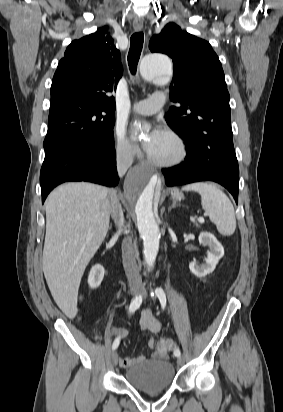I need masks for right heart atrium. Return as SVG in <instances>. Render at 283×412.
Masks as SVG:
<instances>
[{"instance_id": "obj_1", "label": "right heart atrium", "mask_w": 283, "mask_h": 412, "mask_svg": "<svg viewBox=\"0 0 283 412\" xmlns=\"http://www.w3.org/2000/svg\"><path fill=\"white\" fill-rule=\"evenodd\" d=\"M113 139L115 153L119 159L126 162H131L139 156V147L127 137L121 128L115 129Z\"/></svg>"}]
</instances>
